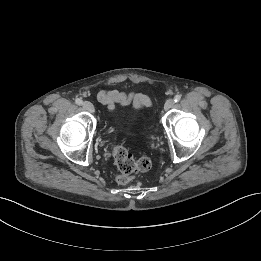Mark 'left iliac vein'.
Masks as SVG:
<instances>
[{"label": "left iliac vein", "mask_w": 261, "mask_h": 261, "mask_svg": "<svg viewBox=\"0 0 261 261\" xmlns=\"http://www.w3.org/2000/svg\"><path fill=\"white\" fill-rule=\"evenodd\" d=\"M174 104H175V101L173 99H168L166 102H165V105H164V109L166 111L170 110L171 108L174 107Z\"/></svg>", "instance_id": "obj_1"}]
</instances>
